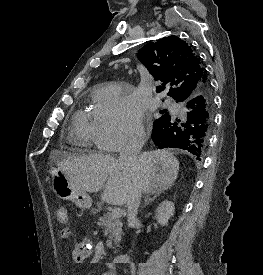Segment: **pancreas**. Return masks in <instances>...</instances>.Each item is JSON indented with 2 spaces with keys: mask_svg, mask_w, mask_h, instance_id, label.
<instances>
[{
  "mask_svg": "<svg viewBox=\"0 0 263 275\" xmlns=\"http://www.w3.org/2000/svg\"><path fill=\"white\" fill-rule=\"evenodd\" d=\"M98 224L103 227L104 234L106 236L109 235V239L106 242L108 247L112 246V242L115 244L120 242L122 234V222L119 220V218H113L111 213H106L99 218Z\"/></svg>",
  "mask_w": 263,
  "mask_h": 275,
  "instance_id": "1",
  "label": "pancreas"
}]
</instances>
